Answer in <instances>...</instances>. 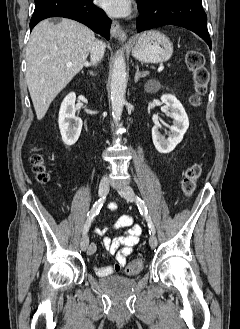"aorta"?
<instances>
[{"mask_svg": "<svg viewBox=\"0 0 240 329\" xmlns=\"http://www.w3.org/2000/svg\"><path fill=\"white\" fill-rule=\"evenodd\" d=\"M127 86L126 64L123 53L120 51L113 64L111 75V102L112 117L115 123L121 119L125 104V92Z\"/></svg>", "mask_w": 240, "mask_h": 329, "instance_id": "aorta-1", "label": "aorta"}]
</instances>
